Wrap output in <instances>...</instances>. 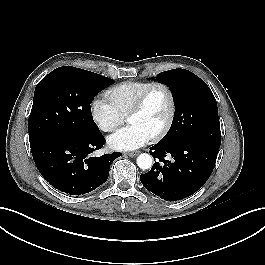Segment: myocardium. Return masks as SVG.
I'll use <instances>...</instances> for the list:
<instances>
[{
	"mask_svg": "<svg viewBox=\"0 0 265 265\" xmlns=\"http://www.w3.org/2000/svg\"><path fill=\"white\" fill-rule=\"evenodd\" d=\"M156 88L162 89L167 94V97L169 100V110H168V113H167V116H166V119L163 125L154 135H152L151 138L153 140H159L163 136H165L173 123L175 111H176V103H175V97H174V93L172 89L163 82L151 83L147 88H145L142 91V93L139 95V97L137 98V100L135 101V103L133 104V106L131 107V109L129 110L127 114V119H128L130 116L140 112L143 109L149 95Z\"/></svg>",
	"mask_w": 265,
	"mask_h": 265,
	"instance_id": "obj_1",
	"label": "myocardium"
}]
</instances>
